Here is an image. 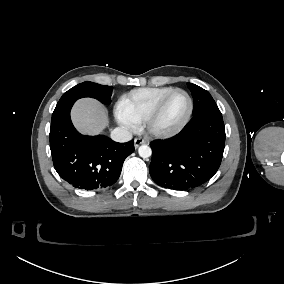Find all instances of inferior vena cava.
I'll return each instance as SVG.
<instances>
[{"label":"inferior vena cava","mask_w":284,"mask_h":284,"mask_svg":"<svg viewBox=\"0 0 284 284\" xmlns=\"http://www.w3.org/2000/svg\"><path fill=\"white\" fill-rule=\"evenodd\" d=\"M111 138L116 142H127L132 139V133L125 127H117L111 132Z\"/></svg>","instance_id":"602c4592"}]
</instances>
